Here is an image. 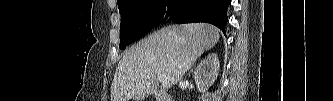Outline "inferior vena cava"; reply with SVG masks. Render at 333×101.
<instances>
[{
	"label": "inferior vena cava",
	"mask_w": 333,
	"mask_h": 101,
	"mask_svg": "<svg viewBox=\"0 0 333 101\" xmlns=\"http://www.w3.org/2000/svg\"><path fill=\"white\" fill-rule=\"evenodd\" d=\"M182 84V81L180 80V85Z\"/></svg>",
	"instance_id": "602c4592"
}]
</instances>
